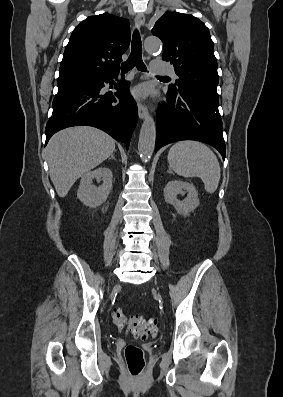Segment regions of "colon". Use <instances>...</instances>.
Here are the masks:
<instances>
[{
	"label": "colon",
	"mask_w": 283,
	"mask_h": 397,
	"mask_svg": "<svg viewBox=\"0 0 283 397\" xmlns=\"http://www.w3.org/2000/svg\"><path fill=\"white\" fill-rule=\"evenodd\" d=\"M112 320L118 329L126 327L127 332L136 338H153L158 333L156 319H145L138 315L128 318L120 307L114 308ZM124 356L129 374L133 377L141 376L145 368L143 350L139 346L129 344L124 350Z\"/></svg>",
	"instance_id": "1"
}]
</instances>
